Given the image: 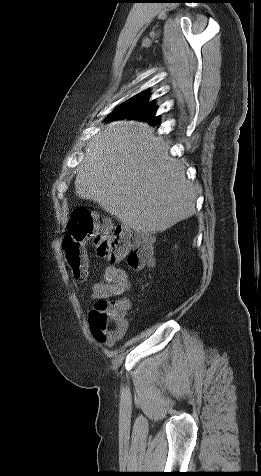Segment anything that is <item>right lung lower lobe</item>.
Wrapping results in <instances>:
<instances>
[{
	"label": "right lung lower lobe",
	"mask_w": 261,
	"mask_h": 476,
	"mask_svg": "<svg viewBox=\"0 0 261 476\" xmlns=\"http://www.w3.org/2000/svg\"><path fill=\"white\" fill-rule=\"evenodd\" d=\"M110 119H119V118H113V117H111ZM149 123H150V122H149Z\"/></svg>",
	"instance_id": "98d812e1"
}]
</instances>
